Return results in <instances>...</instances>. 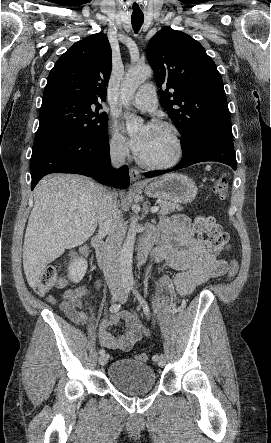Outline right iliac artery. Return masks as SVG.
<instances>
[{
  "label": "right iliac artery",
  "instance_id": "82829eb1",
  "mask_svg": "<svg viewBox=\"0 0 271 443\" xmlns=\"http://www.w3.org/2000/svg\"><path fill=\"white\" fill-rule=\"evenodd\" d=\"M130 289H131V288H130L129 286H125V293H126L127 295L130 294ZM120 308H121V303H115V304H112L111 307H110V312L115 313V312L119 311ZM104 353H105V350H104V349H100V350H99V354H100V355H103Z\"/></svg>",
  "mask_w": 271,
  "mask_h": 443
}]
</instances>
